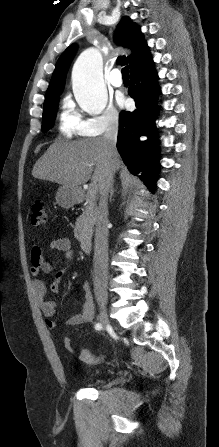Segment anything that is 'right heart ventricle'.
Here are the masks:
<instances>
[{"mask_svg":"<svg viewBox=\"0 0 219 447\" xmlns=\"http://www.w3.org/2000/svg\"><path fill=\"white\" fill-rule=\"evenodd\" d=\"M85 121L75 109L73 102L66 98L62 103L59 115V131L67 139L73 137L89 136L85 127Z\"/></svg>","mask_w":219,"mask_h":447,"instance_id":"e07e8e85","label":"right heart ventricle"}]
</instances>
